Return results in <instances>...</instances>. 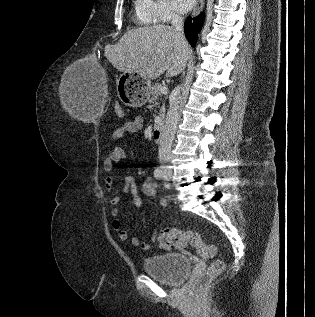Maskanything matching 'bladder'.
Segmentation results:
<instances>
[{
  "mask_svg": "<svg viewBox=\"0 0 315 317\" xmlns=\"http://www.w3.org/2000/svg\"><path fill=\"white\" fill-rule=\"evenodd\" d=\"M144 271L158 281L176 285L189 274L191 263L179 253H167L146 258L143 262Z\"/></svg>",
  "mask_w": 315,
  "mask_h": 317,
  "instance_id": "obj_1",
  "label": "bladder"
}]
</instances>
